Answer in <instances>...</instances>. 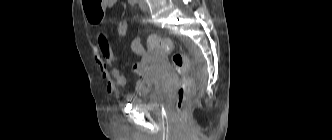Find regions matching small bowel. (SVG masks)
<instances>
[{"label":"small bowel","mask_w":332,"mask_h":140,"mask_svg":"<svg viewBox=\"0 0 332 140\" xmlns=\"http://www.w3.org/2000/svg\"><path fill=\"white\" fill-rule=\"evenodd\" d=\"M119 0H105L103 9L108 11L112 9ZM92 24H98L88 18ZM131 49L137 55H144L146 53L145 47L140 37H135L131 42ZM94 57L98 65L103 79L106 81V89L110 94H117L118 87H126L128 85L127 78L117 68L116 63L118 60L117 54L112 49L109 36L105 31H99L94 42ZM134 72L138 76V80L134 85V92L139 96H146L151 91V84L144 74L143 68L140 64L134 65ZM126 101L131 102L134 100L133 94L126 95Z\"/></svg>","instance_id":"obj_1"}]
</instances>
